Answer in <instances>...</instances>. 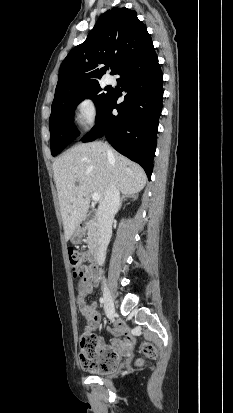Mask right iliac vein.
<instances>
[{
  "mask_svg": "<svg viewBox=\"0 0 233 413\" xmlns=\"http://www.w3.org/2000/svg\"><path fill=\"white\" fill-rule=\"evenodd\" d=\"M104 309L108 317H112L114 315L115 309L113 299L106 286L104 287Z\"/></svg>",
  "mask_w": 233,
  "mask_h": 413,
  "instance_id": "63e3f726",
  "label": "right iliac vein"
}]
</instances>
